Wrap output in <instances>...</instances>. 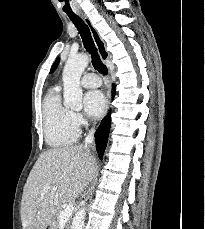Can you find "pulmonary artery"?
<instances>
[{
  "instance_id": "pulmonary-artery-1",
  "label": "pulmonary artery",
  "mask_w": 205,
  "mask_h": 229,
  "mask_svg": "<svg viewBox=\"0 0 205 229\" xmlns=\"http://www.w3.org/2000/svg\"><path fill=\"white\" fill-rule=\"evenodd\" d=\"M81 85L85 88H97L101 85V79L95 73H87L82 77Z\"/></svg>"
}]
</instances>
